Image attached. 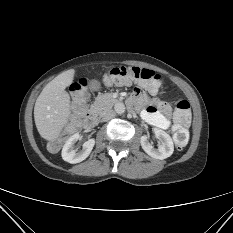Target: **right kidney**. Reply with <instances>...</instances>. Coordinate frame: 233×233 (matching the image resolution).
<instances>
[{
    "instance_id": "right-kidney-1",
    "label": "right kidney",
    "mask_w": 233,
    "mask_h": 233,
    "mask_svg": "<svg viewBox=\"0 0 233 233\" xmlns=\"http://www.w3.org/2000/svg\"><path fill=\"white\" fill-rule=\"evenodd\" d=\"M80 138L79 133H75L68 138L62 149V159L68 163L76 164L85 160L91 153L95 140L89 139L83 144L82 150L77 151L74 144Z\"/></svg>"
}]
</instances>
